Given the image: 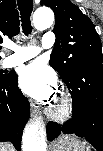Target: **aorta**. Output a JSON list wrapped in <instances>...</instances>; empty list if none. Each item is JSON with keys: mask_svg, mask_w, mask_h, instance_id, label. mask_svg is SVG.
<instances>
[{"mask_svg": "<svg viewBox=\"0 0 103 151\" xmlns=\"http://www.w3.org/2000/svg\"><path fill=\"white\" fill-rule=\"evenodd\" d=\"M54 21V13L50 8H38L33 15V24L37 30L49 28ZM22 151H46L44 132L37 124L25 128L22 138Z\"/></svg>", "mask_w": 103, "mask_h": 151, "instance_id": "762f6f07", "label": "aorta"}]
</instances>
